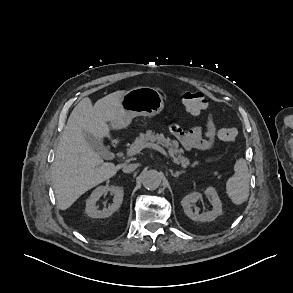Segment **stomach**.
I'll return each instance as SVG.
<instances>
[{
    "label": "stomach",
    "instance_id": "stomach-1",
    "mask_svg": "<svg viewBox=\"0 0 293 293\" xmlns=\"http://www.w3.org/2000/svg\"><path fill=\"white\" fill-rule=\"evenodd\" d=\"M123 113L111 122L114 129L127 127L136 116L153 117L164 109V101L158 90L152 87H137L125 92L120 98Z\"/></svg>",
    "mask_w": 293,
    "mask_h": 293
}]
</instances>
